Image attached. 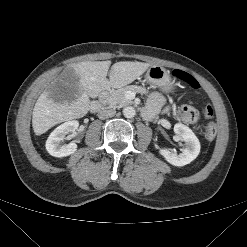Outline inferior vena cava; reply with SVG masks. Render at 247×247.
<instances>
[{"label":"inferior vena cava","mask_w":247,"mask_h":247,"mask_svg":"<svg viewBox=\"0 0 247 247\" xmlns=\"http://www.w3.org/2000/svg\"><path fill=\"white\" fill-rule=\"evenodd\" d=\"M116 114V110L113 108H103L98 112L99 119H106L113 117Z\"/></svg>","instance_id":"obj_1"}]
</instances>
